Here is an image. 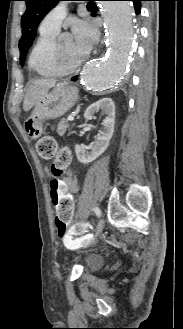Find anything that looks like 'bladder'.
Returning <instances> with one entry per match:
<instances>
[{
  "mask_svg": "<svg viewBox=\"0 0 183 329\" xmlns=\"http://www.w3.org/2000/svg\"><path fill=\"white\" fill-rule=\"evenodd\" d=\"M102 263V260L98 256H89L86 260L84 270L86 272H91L96 270Z\"/></svg>",
  "mask_w": 183,
  "mask_h": 329,
  "instance_id": "obj_1",
  "label": "bladder"
}]
</instances>
